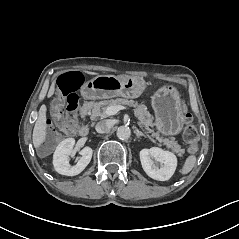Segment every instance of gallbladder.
Wrapping results in <instances>:
<instances>
[{
    "label": "gallbladder",
    "mask_w": 239,
    "mask_h": 239,
    "mask_svg": "<svg viewBox=\"0 0 239 239\" xmlns=\"http://www.w3.org/2000/svg\"><path fill=\"white\" fill-rule=\"evenodd\" d=\"M45 149H46L45 146H41V147H39L38 150H37L38 155H40V152L43 151V150H45Z\"/></svg>",
    "instance_id": "bac80fb5"
}]
</instances>
